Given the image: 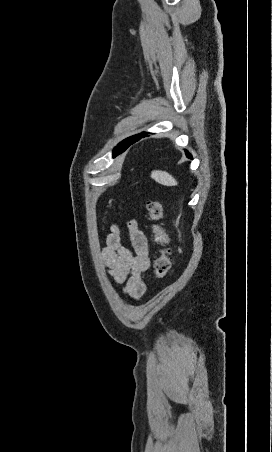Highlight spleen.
I'll use <instances>...</instances> for the list:
<instances>
[{"mask_svg":"<svg viewBox=\"0 0 272 452\" xmlns=\"http://www.w3.org/2000/svg\"><path fill=\"white\" fill-rule=\"evenodd\" d=\"M151 177L164 186H176L177 181L167 172L165 171H153L151 173Z\"/></svg>","mask_w":272,"mask_h":452,"instance_id":"spleen-1","label":"spleen"}]
</instances>
